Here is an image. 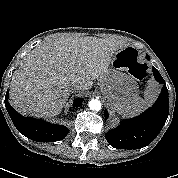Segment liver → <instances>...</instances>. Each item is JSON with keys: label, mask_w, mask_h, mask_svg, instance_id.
Segmentation results:
<instances>
[{"label": "liver", "mask_w": 178, "mask_h": 178, "mask_svg": "<svg viewBox=\"0 0 178 178\" xmlns=\"http://www.w3.org/2000/svg\"><path fill=\"white\" fill-rule=\"evenodd\" d=\"M123 44L96 37H58L36 46L12 76L10 98L22 114L52 117L60 113L76 82L84 92L104 75Z\"/></svg>", "instance_id": "liver-1"}]
</instances>
